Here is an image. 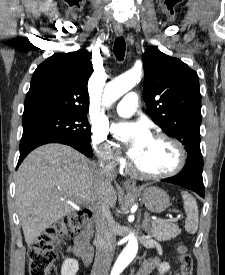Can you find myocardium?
Here are the masks:
<instances>
[{
    "mask_svg": "<svg viewBox=\"0 0 225 275\" xmlns=\"http://www.w3.org/2000/svg\"><path fill=\"white\" fill-rule=\"evenodd\" d=\"M152 137L156 138V139L165 140L174 147V149L176 151V158H177L176 163L172 169H170L166 172L152 174V173H146V172L142 171L137 166V164L134 162L133 170H134L135 174H137L139 177H142L144 179H149V180H158V179L169 178V177H172V176L178 174L183 169V167L186 163V151H185L182 143L180 141H178L177 139L173 138L172 136H170L166 133H163V132L155 133Z\"/></svg>",
    "mask_w": 225,
    "mask_h": 275,
    "instance_id": "myocardium-1",
    "label": "myocardium"
}]
</instances>
